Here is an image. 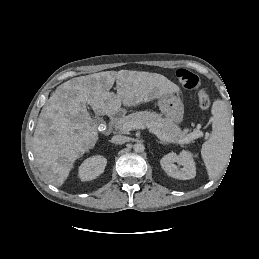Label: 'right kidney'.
Wrapping results in <instances>:
<instances>
[{
	"mask_svg": "<svg viewBox=\"0 0 259 259\" xmlns=\"http://www.w3.org/2000/svg\"><path fill=\"white\" fill-rule=\"evenodd\" d=\"M106 164L107 159L100 155L87 158L79 166V178L82 181L94 180L104 172Z\"/></svg>",
	"mask_w": 259,
	"mask_h": 259,
	"instance_id": "obj_1",
	"label": "right kidney"
}]
</instances>
